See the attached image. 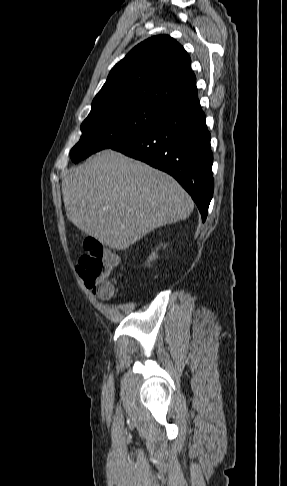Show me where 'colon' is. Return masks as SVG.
I'll list each match as a JSON object with an SVG mask.
<instances>
[{
    "mask_svg": "<svg viewBox=\"0 0 287 486\" xmlns=\"http://www.w3.org/2000/svg\"><path fill=\"white\" fill-rule=\"evenodd\" d=\"M85 253L77 264V272L85 286L99 299L109 300L115 297V285L109 280L119 260L115 253L103 247L94 238L84 243Z\"/></svg>",
    "mask_w": 287,
    "mask_h": 486,
    "instance_id": "5ec220e1",
    "label": "colon"
}]
</instances>
